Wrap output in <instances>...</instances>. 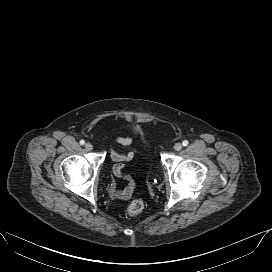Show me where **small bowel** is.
Here are the masks:
<instances>
[{"label": "small bowel", "mask_w": 272, "mask_h": 272, "mask_svg": "<svg viewBox=\"0 0 272 272\" xmlns=\"http://www.w3.org/2000/svg\"><path fill=\"white\" fill-rule=\"evenodd\" d=\"M115 142L127 146L133 142L132 136H120L115 139ZM136 155V150H130L127 153L121 154L114 150H110V157L115 161L113 172L116 176L125 179L128 185L123 190L112 189V196L117 199H129L133 193L134 182L129 175L124 172V166L127 162L131 161Z\"/></svg>", "instance_id": "c3829d8e"}]
</instances>
